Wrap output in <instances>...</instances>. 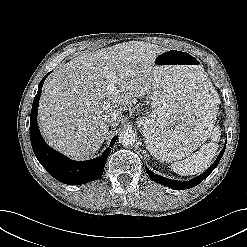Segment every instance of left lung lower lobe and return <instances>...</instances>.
<instances>
[{
	"label": "left lung lower lobe",
	"mask_w": 247,
	"mask_h": 247,
	"mask_svg": "<svg viewBox=\"0 0 247 247\" xmlns=\"http://www.w3.org/2000/svg\"><path fill=\"white\" fill-rule=\"evenodd\" d=\"M226 144L222 151L219 153L217 159L215 162L209 167L204 173H202L200 176L186 182H181V181H175L171 179H167L165 177H162L160 175L154 174L152 171H150L147 167H145L147 174L150 176V178L162 185H165L169 188L175 189V190H184V189H189L192 188L199 183H201L207 176L210 175V173L217 167L218 163L220 162L223 153L225 151Z\"/></svg>",
	"instance_id": "obj_1"
}]
</instances>
